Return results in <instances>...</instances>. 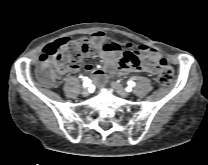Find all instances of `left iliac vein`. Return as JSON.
<instances>
[{
    "instance_id": "4c4485c4",
    "label": "left iliac vein",
    "mask_w": 208,
    "mask_h": 165,
    "mask_svg": "<svg viewBox=\"0 0 208 165\" xmlns=\"http://www.w3.org/2000/svg\"><path fill=\"white\" fill-rule=\"evenodd\" d=\"M112 86L120 96L126 98L130 95V93L125 88H123L119 83L112 82Z\"/></svg>"
}]
</instances>
